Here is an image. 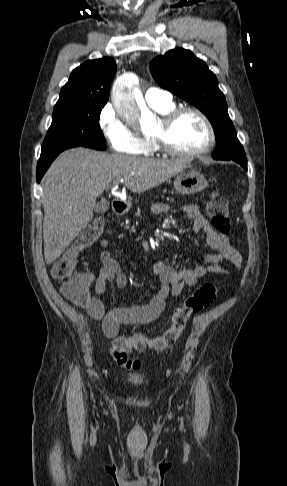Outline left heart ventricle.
Segmentation results:
<instances>
[{
  "instance_id": "b2bd125f",
  "label": "left heart ventricle",
  "mask_w": 287,
  "mask_h": 486,
  "mask_svg": "<svg viewBox=\"0 0 287 486\" xmlns=\"http://www.w3.org/2000/svg\"><path fill=\"white\" fill-rule=\"evenodd\" d=\"M160 129V123L154 134ZM171 145L181 151H194L204 147L207 143V131L201 119L193 114L182 115L173 125L169 133Z\"/></svg>"
}]
</instances>
